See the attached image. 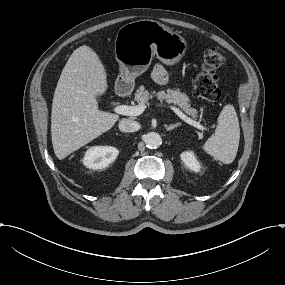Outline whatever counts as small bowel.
Segmentation results:
<instances>
[{
  "mask_svg": "<svg viewBox=\"0 0 285 285\" xmlns=\"http://www.w3.org/2000/svg\"><path fill=\"white\" fill-rule=\"evenodd\" d=\"M153 79L158 84H166L168 82V74L162 65H157L153 69Z\"/></svg>",
  "mask_w": 285,
  "mask_h": 285,
  "instance_id": "obj_1",
  "label": "small bowel"
}]
</instances>
